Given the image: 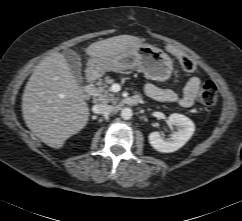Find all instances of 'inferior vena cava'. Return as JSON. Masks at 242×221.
Listing matches in <instances>:
<instances>
[{
	"instance_id": "602c4592",
	"label": "inferior vena cava",
	"mask_w": 242,
	"mask_h": 221,
	"mask_svg": "<svg viewBox=\"0 0 242 221\" xmlns=\"http://www.w3.org/2000/svg\"><path fill=\"white\" fill-rule=\"evenodd\" d=\"M115 110L114 106L107 105V104H99L96 105V113L102 114V115H109Z\"/></svg>"
}]
</instances>
